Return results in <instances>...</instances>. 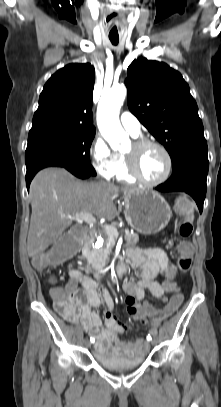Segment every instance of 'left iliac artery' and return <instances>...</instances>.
<instances>
[{
  "mask_svg": "<svg viewBox=\"0 0 221 407\" xmlns=\"http://www.w3.org/2000/svg\"><path fill=\"white\" fill-rule=\"evenodd\" d=\"M155 333H156L155 331H152V335H155ZM147 339H148V340H152V338H151L150 335H148Z\"/></svg>",
  "mask_w": 221,
  "mask_h": 407,
  "instance_id": "obj_1",
  "label": "left iliac artery"
}]
</instances>
